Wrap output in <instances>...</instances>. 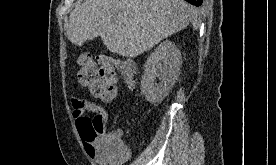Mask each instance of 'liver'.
Here are the masks:
<instances>
[{"label": "liver", "instance_id": "obj_1", "mask_svg": "<svg viewBox=\"0 0 276 165\" xmlns=\"http://www.w3.org/2000/svg\"><path fill=\"white\" fill-rule=\"evenodd\" d=\"M196 16L183 0H85L70 13L67 37L82 46L100 36L110 52L134 58Z\"/></svg>", "mask_w": 276, "mask_h": 165}]
</instances>
